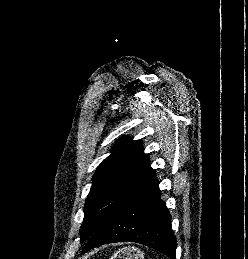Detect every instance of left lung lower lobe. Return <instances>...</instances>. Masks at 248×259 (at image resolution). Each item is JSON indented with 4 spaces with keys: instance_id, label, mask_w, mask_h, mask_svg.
Returning a JSON list of instances; mask_svg holds the SVG:
<instances>
[{
    "instance_id": "obj_1",
    "label": "left lung lower lobe",
    "mask_w": 248,
    "mask_h": 259,
    "mask_svg": "<svg viewBox=\"0 0 248 259\" xmlns=\"http://www.w3.org/2000/svg\"><path fill=\"white\" fill-rule=\"evenodd\" d=\"M124 241L144 244L176 259L171 216L161 200L158 186L129 204L94 233L82 253L100 245Z\"/></svg>"
}]
</instances>
